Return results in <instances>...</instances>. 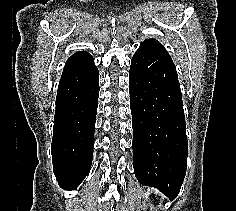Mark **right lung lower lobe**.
Masks as SVG:
<instances>
[{
    "label": "right lung lower lobe",
    "mask_w": 236,
    "mask_h": 211,
    "mask_svg": "<svg viewBox=\"0 0 236 211\" xmlns=\"http://www.w3.org/2000/svg\"><path fill=\"white\" fill-rule=\"evenodd\" d=\"M98 96L96 67L59 81L51 151L54 174L63 189H75L90 171Z\"/></svg>",
    "instance_id": "1"
}]
</instances>
